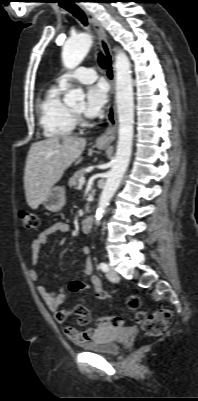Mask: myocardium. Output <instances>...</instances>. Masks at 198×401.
Here are the masks:
<instances>
[{
	"label": "myocardium",
	"mask_w": 198,
	"mask_h": 401,
	"mask_svg": "<svg viewBox=\"0 0 198 401\" xmlns=\"http://www.w3.org/2000/svg\"><path fill=\"white\" fill-rule=\"evenodd\" d=\"M71 112H72V115L74 117L75 125H77V126H79L81 128L89 126V124H90L89 121H87L84 118V116L82 115L81 112H77V111H75L73 109H71Z\"/></svg>",
	"instance_id": "f54148a6"
}]
</instances>
